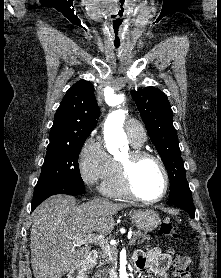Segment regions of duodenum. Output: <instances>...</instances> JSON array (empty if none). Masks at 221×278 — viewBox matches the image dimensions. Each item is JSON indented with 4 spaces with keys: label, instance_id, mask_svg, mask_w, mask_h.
Segmentation results:
<instances>
[{
    "label": "duodenum",
    "instance_id": "obj_1",
    "mask_svg": "<svg viewBox=\"0 0 221 278\" xmlns=\"http://www.w3.org/2000/svg\"><path fill=\"white\" fill-rule=\"evenodd\" d=\"M97 253L95 250H91L88 257L79 262L69 273L68 278H87V270L95 261Z\"/></svg>",
    "mask_w": 221,
    "mask_h": 278
}]
</instances>
